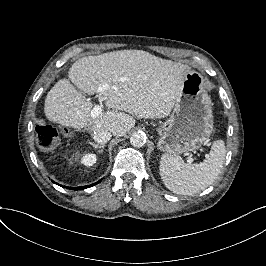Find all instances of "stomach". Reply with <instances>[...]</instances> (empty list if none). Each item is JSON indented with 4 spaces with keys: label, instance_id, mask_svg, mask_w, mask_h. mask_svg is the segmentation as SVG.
Returning <instances> with one entry per match:
<instances>
[{
    "label": "stomach",
    "instance_id": "0dacf381",
    "mask_svg": "<svg viewBox=\"0 0 266 266\" xmlns=\"http://www.w3.org/2000/svg\"><path fill=\"white\" fill-rule=\"evenodd\" d=\"M212 106L204 88L203 76L196 71H188L172 113L157 128L160 136L158 148L175 155L200 148L213 132Z\"/></svg>",
    "mask_w": 266,
    "mask_h": 266
}]
</instances>
